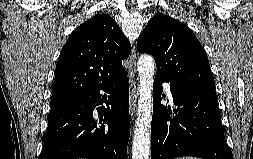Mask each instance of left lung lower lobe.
I'll return each instance as SVG.
<instances>
[{"label":"left lung lower lobe","mask_w":253,"mask_h":159,"mask_svg":"<svg viewBox=\"0 0 253 159\" xmlns=\"http://www.w3.org/2000/svg\"><path fill=\"white\" fill-rule=\"evenodd\" d=\"M170 83L177 106L173 110L161 104L162 83ZM152 117L151 159L195 156L203 159H232L214 88L172 82L155 76Z\"/></svg>","instance_id":"0a47b994"}]
</instances>
